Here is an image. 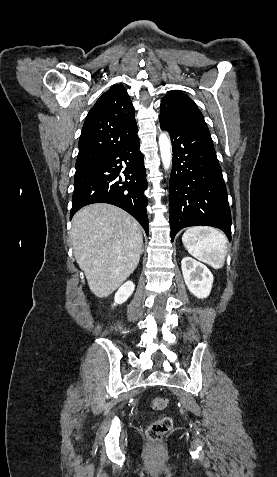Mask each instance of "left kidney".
<instances>
[{"label": "left kidney", "instance_id": "obj_1", "mask_svg": "<svg viewBox=\"0 0 277 477\" xmlns=\"http://www.w3.org/2000/svg\"><path fill=\"white\" fill-rule=\"evenodd\" d=\"M181 268L189 291L200 299L209 296L213 284V275L210 270L191 257L182 259Z\"/></svg>", "mask_w": 277, "mask_h": 477}]
</instances>
